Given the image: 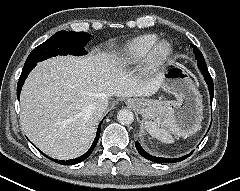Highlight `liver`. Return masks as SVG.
Wrapping results in <instances>:
<instances>
[{"mask_svg":"<svg viewBox=\"0 0 240 191\" xmlns=\"http://www.w3.org/2000/svg\"><path fill=\"white\" fill-rule=\"evenodd\" d=\"M123 68L121 60L107 54L59 56L38 63L20 96L22 130L52 158L82 155L103 115L94 102L112 96H151L161 87L162 74L142 80Z\"/></svg>","mask_w":240,"mask_h":191,"instance_id":"1","label":"liver"}]
</instances>
